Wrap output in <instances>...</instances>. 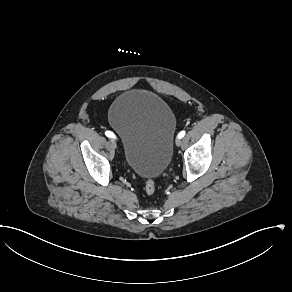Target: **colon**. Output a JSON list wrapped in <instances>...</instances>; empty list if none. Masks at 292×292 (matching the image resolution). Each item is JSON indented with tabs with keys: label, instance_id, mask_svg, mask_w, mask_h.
<instances>
[{
	"label": "colon",
	"instance_id": "colon-1",
	"mask_svg": "<svg viewBox=\"0 0 292 292\" xmlns=\"http://www.w3.org/2000/svg\"><path fill=\"white\" fill-rule=\"evenodd\" d=\"M156 191V184L153 180L148 179L145 182L144 185V192L146 194V196L148 197H153Z\"/></svg>",
	"mask_w": 292,
	"mask_h": 292
}]
</instances>
